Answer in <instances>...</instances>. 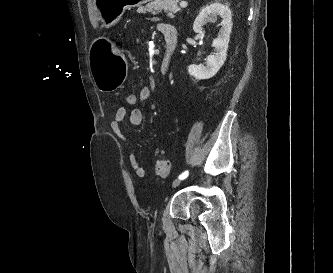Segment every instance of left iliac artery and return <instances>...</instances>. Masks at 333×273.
I'll use <instances>...</instances> for the list:
<instances>
[{"mask_svg":"<svg viewBox=\"0 0 333 273\" xmlns=\"http://www.w3.org/2000/svg\"><path fill=\"white\" fill-rule=\"evenodd\" d=\"M189 175V172L188 170H186L185 172H183L180 176H179V179L183 180L185 178H187Z\"/></svg>","mask_w":333,"mask_h":273,"instance_id":"44dca946","label":"left iliac artery"}]
</instances>
